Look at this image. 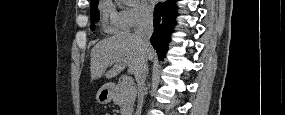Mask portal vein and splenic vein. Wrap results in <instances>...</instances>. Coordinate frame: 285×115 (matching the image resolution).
<instances>
[{
    "instance_id": "obj_1",
    "label": "portal vein and splenic vein",
    "mask_w": 285,
    "mask_h": 115,
    "mask_svg": "<svg viewBox=\"0 0 285 115\" xmlns=\"http://www.w3.org/2000/svg\"><path fill=\"white\" fill-rule=\"evenodd\" d=\"M123 84H124V85H132V78H131V77H126V78L123 80Z\"/></svg>"
}]
</instances>
